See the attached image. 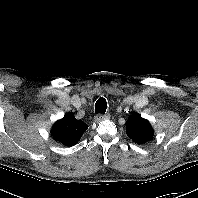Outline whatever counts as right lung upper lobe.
I'll use <instances>...</instances> for the list:
<instances>
[{
	"mask_svg": "<svg viewBox=\"0 0 198 198\" xmlns=\"http://www.w3.org/2000/svg\"><path fill=\"white\" fill-rule=\"evenodd\" d=\"M87 128L88 125L82 120H77L72 114H66L53 125L51 135L63 145L72 146L79 141Z\"/></svg>",
	"mask_w": 198,
	"mask_h": 198,
	"instance_id": "cb5924a9",
	"label": "right lung upper lobe"
}]
</instances>
